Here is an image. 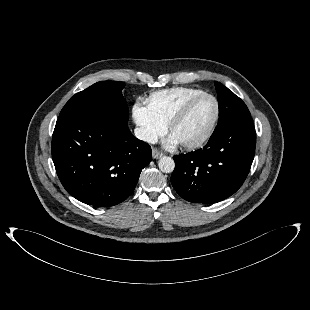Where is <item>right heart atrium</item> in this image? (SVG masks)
<instances>
[{
  "mask_svg": "<svg viewBox=\"0 0 310 310\" xmlns=\"http://www.w3.org/2000/svg\"><path fill=\"white\" fill-rule=\"evenodd\" d=\"M132 118L137 127L138 137L147 143L154 142L167 129V124L152 113L147 103H136L132 108Z\"/></svg>",
  "mask_w": 310,
  "mask_h": 310,
  "instance_id": "1",
  "label": "right heart atrium"
}]
</instances>
